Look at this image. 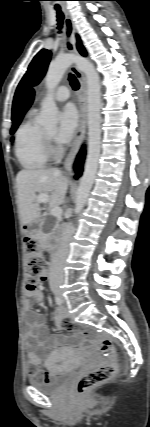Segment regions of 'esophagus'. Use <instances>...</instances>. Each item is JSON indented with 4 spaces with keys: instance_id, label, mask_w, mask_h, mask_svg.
I'll list each match as a JSON object with an SVG mask.
<instances>
[{
    "instance_id": "obj_1",
    "label": "esophagus",
    "mask_w": 150,
    "mask_h": 427,
    "mask_svg": "<svg viewBox=\"0 0 150 427\" xmlns=\"http://www.w3.org/2000/svg\"><path fill=\"white\" fill-rule=\"evenodd\" d=\"M65 14V38L66 49L70 54L76 55L78 53L75 43V25L68 13L67 9L63 7ZM71 71L75 74L79 81L80 88L78 91V108H79V124L74 136L71 149L65 159L64 168L68 176L72 175L73 164L80 146L86 135L87 128V82L84 74L77 68L75 64L71 66Z\"/></svg>"
}]
</instances>
